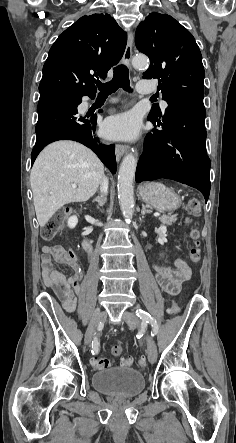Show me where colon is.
Returning a JSON list of instances; mask_svg holds the SVG:
<instances>
[{
	"mask_svg": "<svg viewBox=\"0 0 236 443\" xmlns=\"http://www.w3.org/2000/svg\"><path fill=\"white\" fill-rule=\"evenodd\" d=\"M187 212L190 216H198L201 212V205L198 199L192 198L187 203ZM65 218L64 212H58L54 214L41 228V237L43 240L50 241L54 239V237L59 233L62 228L63 222ZM190 241L192 246L190 248V259L192 262H199L201 258V250L199 247V239L200 233L198 230H192L189 234ZM179 312V308L177 305H172L171 313L177 314ZM121 352V345L115 344L112 347V353L114 355H118ZM92 366L95 369H107L111 366V361L107 357L103 355L95 356L92 361ZM134 361L130 357L123 358L121 360V365L124 367H131ZM147 363L144 357L139 360V367L146 368Z\"/></svg>",
	"mask_w": 236,
	"mask_h": 443,
	"instance_id": "obj_1",
	"label": "colon"
}]
</instances>
